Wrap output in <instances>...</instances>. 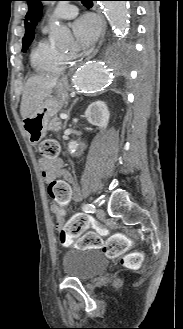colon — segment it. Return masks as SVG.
I'll return each instance as SVG.
<instances>
[{
  "instance_id": "5ec220e1",
  "label": "colon",
  "mask_w": 183,
  "mask_h": 329,
  "mask_svg": "<svg viewBox=\"0 0 183 329\" xmlns=\"http://www.w3.org/2000/svg\"><path fill=\"white\" fill-rule=\"evenodd\" d=\"M59 151V144L53 139H46L39 145L40 155L44 159H56ZM90 229L91 226L88 218L79 215L63 226L60 231V238L62 240H73L77 238V245L82 249L102 248L104 254L109 258L122 257V264L129 268L137 267L143 261V254L140 252L126 253L129 247V240L126 236L121 234L111 235L106 241H103L97 233L86 232L90 231ZM102 232L105 233L106 231L102 230Z\"/></svg>"
}]
</instances>
